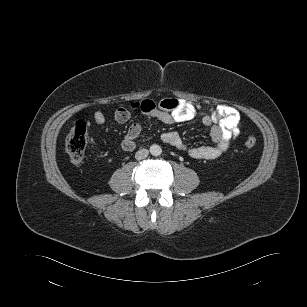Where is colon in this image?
Segmentation results:
<instances>
[{"instance_id": "1", "label": "colon", "mask_w": 307, "mask_h": 307, "mask_svg": "<svg viewBox=\"0 0 307 307\" xmlns=\"http://www.w3.org/2000/svg\"><path fill=\"white\" fill-rule=\"evenodd\" d=\"M87 145V127L83 121L75 123L66 138V151L72 163L82 162ZM244 146L247 149H253L256 146V139L253 136H247L244 140Z\"/></svg>"}]
</instances>
